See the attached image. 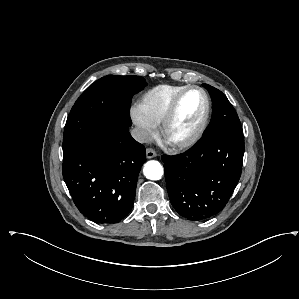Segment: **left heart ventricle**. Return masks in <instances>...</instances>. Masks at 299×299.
<instances>
[{
	"label": "left heart ventricle",
	"mask_w": 299,
	"mask_h": 299,
	"mask_svg": "<svg viewBox=\"0 0 299 299\" xmlns=\"http://www.w3.org/2000/svg\"><path fill=\"white\" fill-rule=\"evenodd\" d=\"M204 107V98L200 92H188L180 102L169 131V137L172 140H181L187 137L199 124Z\"/></svg>",
	"instance_id": "1"
}]
</instances>
